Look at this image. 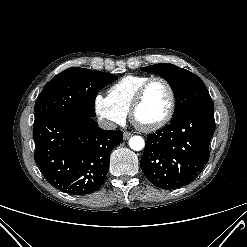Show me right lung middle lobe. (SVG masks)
Here are the masks:
<instances>
[{
	"label": "right lung middle lobe",
	"instance_id": "obj_1",
	"mask_svg": "<svg viewBox=\"0 0 247 247\" xmlns=\"http://www.w3.org/2000/svg\"><path fill=\"white\" fill-rule=\"evenodd\" d=\"M116 80L109 73L71 67L56 75L35 102V121L53 114L94 117L97 92Z\"/></svg>",
	"mask_w": 247,
	"mask_h": 247
}]
</instances>
